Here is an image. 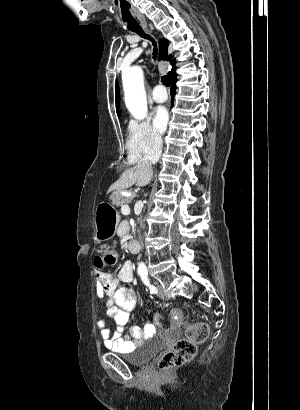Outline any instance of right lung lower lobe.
<instances>
[{
  "label": "right lung lower lobe",
  "mask_w": 300,
  "mask_h": 410,
  "mask_svg": "<svg viewBox=\"0 0 300 410\" xmlns=\"http://www.w3.org/2000/svg\"><path fill=\"white\" fill-rule=\"evenodd\" d=\"M171 81H172L171 96H172V103H173L174 96L176 94V81H177L176 75L171 77Z\"/></svg>",
  "instance_id": "obj_1"
}]
</instances>
